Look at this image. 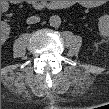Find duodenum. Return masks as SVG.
Here are the masks:
<instances>
[{"mask_svg":"<svg viewBox=\"0 0 109 109\" xmlns=\"http://www.w3.org/2000/svg\"><path fill=\"white\" fill-rule=\"evenodd\" d=\"M13 2H16V1H13ZM29 4L38 10L46 9L47 7L51 5L50 3H47L45 1H29Z\"/></svg>","mask_w":109,"mask_h":109,"instance_id":"duodenum-1","label":"duodenum"}]
</instances>
